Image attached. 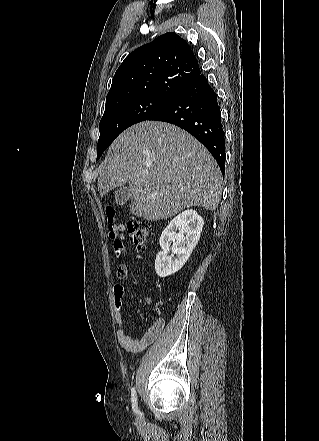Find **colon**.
<instances>
[{
	"mask_svg": "<svg viewBox=\"0 0 319 441\" xmlns=\"http://www.w3.org/2000/svg\"><path fill=\"white\" fill-rule=\"evenodd\" d=\"M107 222L109 228V234L113 241L115 254H121L123 227L120 226L115 220V211L113 207L108 206L106 208ZM128 234L139 251H143L147 244V239L150 234V225L147 221L133 217L127 225Z\"/></svg>",
	"mask_w": 319,
	"mask_h": 441,
	"instance_id": "1",
	"label": "colon"
}]
</instances>
